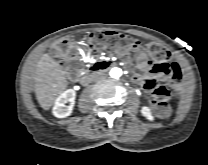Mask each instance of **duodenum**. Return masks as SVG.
Here are the masks:
<instances>
[{
  "label": "duodenum",
  "instance_id": "410a0bca",
  "mask_svg": "<svg viewBox=\"0 0 208 165\" xmlns=\"http://www.w3.org/2000/svg\"><path fill=\"white\" fill-rule=\"evenodd\" d=\"M109 65L103 62L93 64L89 71L81 76V82L84 84L88 83L95 74L105 70Z\"/></svg>",
  "mask_w": 208,
  "mask_h": 165
}]
</instances>
